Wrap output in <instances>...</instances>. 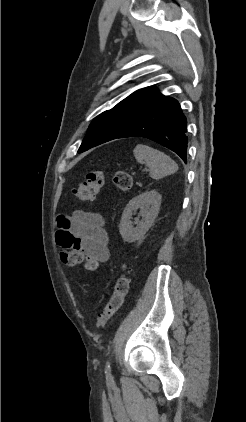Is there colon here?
<instances>
[{"label": "colon", "mask_w": 246, "mask_h": 422, "mask_svg": "<svg viewBox=\"0 0 246 422\" xmlns=\"http://www.w3.org/2000/svg\"><path fill=\"white\" fill-rule=\"evenodd\" d=\"M105 175L101 170L89 171L85 179L73 190L74 194L82 200H93L104 185ZM113 182L121 191H128L132 187V177L126 171L116 172ZM61 261L68 266L83 264L88 271H95L98 268V261L84 255L78 250H66L61 252ZM128 291V280L121 273L114 285L112 294L106 303L103 311L98 314L96 325L104 327L113 315L121 308Z\"/></svg>", "instance_id": "5ec220e1"}]
</instances>
